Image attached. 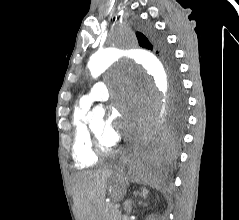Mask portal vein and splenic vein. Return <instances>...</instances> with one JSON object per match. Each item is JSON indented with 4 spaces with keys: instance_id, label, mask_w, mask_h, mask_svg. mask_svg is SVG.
I'll list each match as a JSON object with an SVG mask.
<instances>
[{
    "instance_id": "obj_1",
    "label": "portal vein and splenic vein",
    "mask_w": 239,
    "mask_h": 220,
    "mask_svg": "<svg viewBox=\"0 0 239 220\" xmlns=\"http://www.w3.org/2000/svg\"><path fill=\"white\" fill-rule=\"evenodd\" d=\"M119 207H120L119 203L115 204V209H119Z\"/></svg>"
}]
</instances>
